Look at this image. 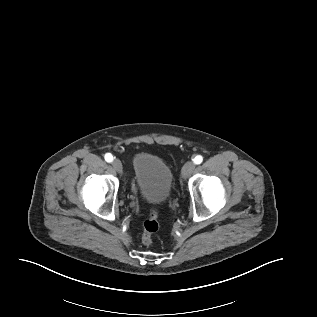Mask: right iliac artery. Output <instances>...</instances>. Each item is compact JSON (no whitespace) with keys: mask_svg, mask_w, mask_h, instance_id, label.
Instances as JSON below:
<instances>
[{"mask_svg":"<svg viewBox=\"0 0 317 317\" xmlns=\"http://www.w3.org/2000/svg\"><path fill=\"white\" fill-rule=\"evenodd\" d=\"M105 160L107 161V162H112V160H113V156H112V154H110V153H107V154H105Z\"/></svg>","mask_w":317,"mask_h":317,"instance_id":"right-iliac-artery-1","label":"right iliac artery"}]
</instances>
